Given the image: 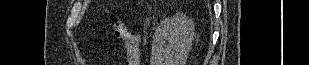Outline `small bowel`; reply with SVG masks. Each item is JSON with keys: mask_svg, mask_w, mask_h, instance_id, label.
<instances>
[{"mask_svg": "<svg viewBox=\"0 0 309 65\" xmlns=\"http://www.w3.org/2000/svg\"><path fill=\"white\" fill-rule=\"evenodd\" d=\"M124 53L127 65H140V36L128 33L125 37Z\"/></svg>", "mask_w": 309, "mask_h": 65, "instance_id": "c3829d8e", "label": "small bowel"}]
</instances>
